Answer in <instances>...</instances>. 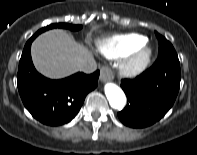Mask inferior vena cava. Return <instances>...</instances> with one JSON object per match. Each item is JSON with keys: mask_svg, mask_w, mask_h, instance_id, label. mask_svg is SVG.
Returning <instances> with one entry per match:
<instances>
[{"mask_svg": "<svg viewBox=\"0 0 197 155\" xmlns=\"http://www.w3.org/2000/svg\"><path fill=\"white\" fill-rule=\"evenodd\" d=\"M80 70L84 73H87V74H90V73H93L97 70V64L95 62V60H90L86 63H84Z\"/></svg>", "mask_w": 197, "mask_h": 155, "instance_id": "obj_1", "label": "inferior vena cava"}]
</instances>
